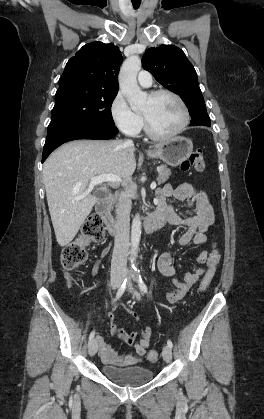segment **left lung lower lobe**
<instances>
[{
    "label": "left lung lower lobe",
    "mask_w": 264,
    "mask_h": 419,
    "mask_svg": "<svg viewBox=\"0 0 264 419\" xmlns=\"http://www.w3.org/2000/svg\"><path fill=\"white\" fill-rule=\"evenodd\" d=\"M192 120L190 121V125L191 126H210L211 122H210V118L205 117L203 114L202 115H194L191 116Z\"/></svg>",
    "instance_id": "0a47b994"
}]
</instances>
